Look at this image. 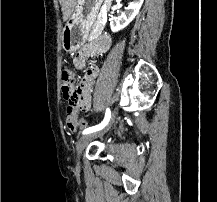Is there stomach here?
<instances>
[{"instance_id": "obj_1", "label": "stomach", "mask_w": 217, "mask_h": 202, "mask_svg": "<svg viewBox=\"0 0 217 202\" xmlns=\"http://www.w3.org/2000/svg\"><path fill=\"white\" fill-rule=\"evenodd\" d=\"M99 6L100 0H77L74 12L62 32V48L65 52H76L86 44Z\"/></svg>"}]
</instances>
